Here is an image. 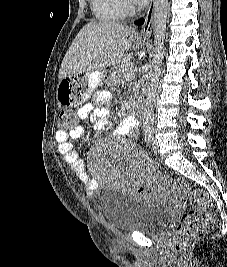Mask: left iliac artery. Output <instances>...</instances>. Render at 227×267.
Wrapping results in <instances>:
<instances>
[{
	"label": "left iliac artery",
	"mask_w": 227,
	"mask_h": 267,
	"mask_svg": "<svg viewBox=\"0 0 227 267\" xmlns=\"http://www.w3.org/2000/svg\"><path fill=\"white\" fill-rule=\"evenodd\" d=\"M147 134H149L150 136H151V134H152V131H148V133Z\"/></svg>",
	"instance_id": "obj_1"
}]
</instances>
